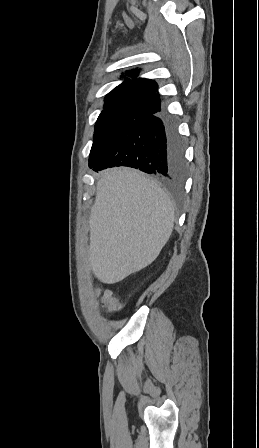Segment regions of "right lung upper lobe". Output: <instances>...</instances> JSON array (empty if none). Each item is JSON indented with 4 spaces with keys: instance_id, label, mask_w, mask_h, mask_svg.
<instances>
[{
    "instance_id": "cb5924a9",
    "label": "right lung upper lobe",
    "mask_w": 259,
    "mask_h": 448,
    "mask_svg": "<svg viewBox=\"0 0 259 448\" xmlns=\"http://www.w3.org/2000/svg\"><path fill=\"white\" fill-rule=\"evenodd\" d=\"M126 80L105 97L104 114L138 113L142 116L159 112L161 100L154 80L138 78L139 70L126 71Z\"/></svg>"
}]
</instances>
